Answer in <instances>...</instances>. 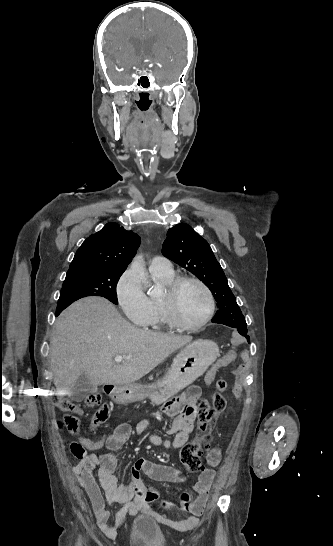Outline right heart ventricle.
I'll return each mask as SVG.
<instances>
[{"instance_id": "obj_1", "label": "right heart ventricle", "mask_w": 333, "mask_h": 546, "mask_svg": "<svg viewBox=\"0 0 333 546\" xmlns=\"http://www.w3.org/2000/svg\"><path fill=\"white\" fill-rule=\"evenodd\" d=\"M153 276L160 281L164 285H169L174 279L175 274L172 272L171 274H160L152 272ZM151 308L152 312L145 323V326L148 327L151 330L161 331L165 330L168 327V322L166 321L163 311L161 309L160 305V299L158 298H150Z\"/></svg>"}]
</instances>
